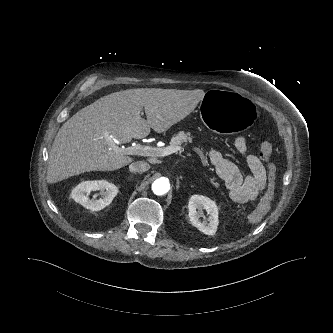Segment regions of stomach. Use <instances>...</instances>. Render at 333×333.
I'll list each match as a JSON object with an SVG mask.
<instances>
[{
  "label": "stomach",
  "instance_id": "stomach-1",
  "mask_svg": "<svg viewBox=\"0 0 333 333\" xmlns=\"http://www.w3.org/2000/svg\"><path fill=\"white\" fill-rule=\"evenodd\" d=\"M199 116L203 123L216 132L242 135L254 128L258 121V108L245 95L212 90L199 103Z\"/></svg>",
  "mask_w": 333,
  "mask_h": 333
}]
</instances>
